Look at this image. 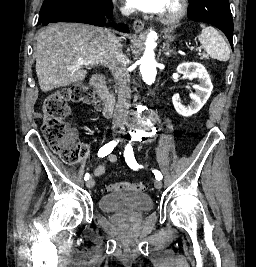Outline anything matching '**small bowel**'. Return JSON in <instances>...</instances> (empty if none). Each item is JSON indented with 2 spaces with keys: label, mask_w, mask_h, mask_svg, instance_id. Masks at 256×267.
I'll return each instance as SVG.
<instances>
[{
  "label": "small bowel",
  "mask_w": 256,
  "mask_h": 267,
  "mask_svg": "<svg viewBox=\"0 0 256 267\" xmlns=\"http://www.w3.org/2000/svg\"><path fill=\"white\" fill-rule=\"evenodd\" d=\"M116 161H117V156L115 154H109L106 157L105 161L95 168L94 175L96 177L104 176L105 173L107 172L108 166L110 164H114Z\"/></svg>",
  "instance_id": "1"
}]
</instances>
